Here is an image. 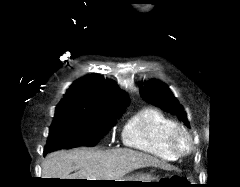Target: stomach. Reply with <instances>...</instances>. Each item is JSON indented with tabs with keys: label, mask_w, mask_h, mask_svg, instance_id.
Wrapping results in <instances>:
<instances>
[{
	"label": "stomach",
	"mask_w": 240,
	"mask_h": 187,
	"mask_svg": "<svg viewBox=\"0 0 240 187\" xmlns=\"http://www.w3.org/2000/svg\"><path fill=\"white\" fill-rule=\"evenodd\" d=\"M113 181H131V182H112V186L116 187H152L155 186L153 183H143V182H157L154 178L147 174H141L137 176H130L121 178Z\"/></svg>",
	"instance_id": "obj_1"
}]
</instances>
